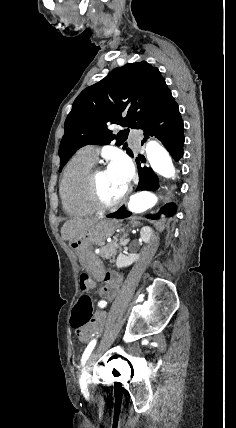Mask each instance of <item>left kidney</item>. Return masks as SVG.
<instances>
[{
  "label": "left kidney",
  "instance_id": "obj_1",
  "mask_svg": "<svg viewBox=\"0 0 236 428\" xmlns=\"http://www.w3.org/2000/svg\"><path fill=\"white\" fill-rule=\"evenodd\" d=\"M140 236L145 244H149L152 236L151 228H148V226L142 228ZM137 260H139V254H128V256H126V254H119L116 260V266L117 268H127V266H131V264L137 262Z\"/></svg>",
  "mask_w": 236,
  "mask_h": 428
}]
</instances>
